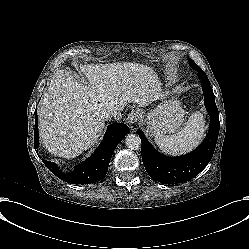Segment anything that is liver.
<instances>
[{
  "label": "liver",
  "mask_w": 249,
  "mask_h": 249,
  "mask_svg": "<svg viewBox=\"0 0 249 249\" xmlns=\"http://www.w3.org/2000/svg\"><path fill=\"white\" fill-rule=\"evenodd\" d=\"M135 64H87L81 71L89 86L69 72L51 80L38 108L39 135L50 153L74 158L103 135L111 105L121 110L134 103L145 107L162 96L158 77Z\"/></svg>",
  "instance_id": "6515ba94"
}]
</instances>
